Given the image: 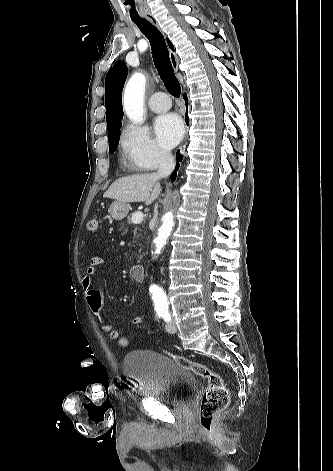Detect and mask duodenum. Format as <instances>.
I'll return each mask as SVG.
<instances>
[{
    "instance_id": "obj_1",
    "label": "duodenum",
    "mask_w": 333,
    "mask_h": 471,
    "mask_svg": "<svg viewBox=\"0 0 333 471\" xmlns=\"http://www.w3.org/2000/svg\"><path fill=\"white\" fill-rule=\"evenodd\" d=\"M130 275L136 281H142L144 278V268L142 265H133L130 268Z\"/></svg>"
}]
</instances>
